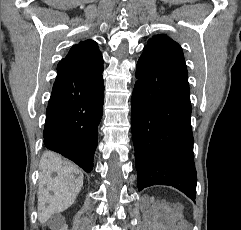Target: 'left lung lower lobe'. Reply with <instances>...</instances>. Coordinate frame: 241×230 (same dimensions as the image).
Returning a JSON list of instances; mask_svg holds the SVG:
<instances>
[{"mask_svg": "<svg viewBox=\"0 0 241 230\" xmlns=\"http://www.w3.org/2000/svg\"><path fill=\"white\" fill-rule=\"evenodd\" d=\"M131 102L138 188L173 186L196 198L188 74L140 56Z\"/></svg>", "mask_w": 241, "mask_h": 230, "instance_id": "1", "label": "left lung lower lobe"}]
</instances>
